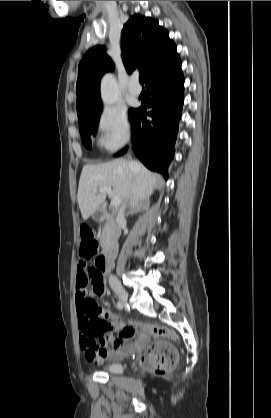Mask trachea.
I'll list each match as a JSON object with an SVG mask.
<instances>
[{
  "label": "trachea",
  "instance_id": "3493384b",
  "mask_svg": "<svg viewBox=\"0 0 271 418\" xmlns=\"http://www.w3.org/2000/svg\"><path fill=\"white\" fill-rule=\"evenodd\" d=\"M139 81H140L141 84H143V77L142 76L139 77Z\"/></svg>",
  "mask_w": 271,
  "mask_h": 418
}]
</instances>
